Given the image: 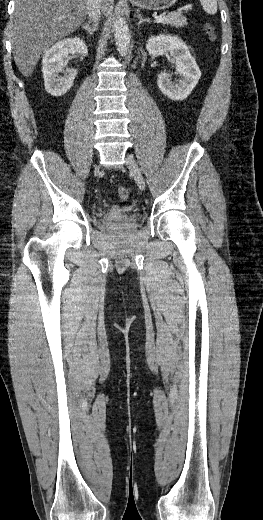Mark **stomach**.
<instances>
[{
  "mask_svg": "<svg viewBox=\"0 0 263 520\" xmlns=\"http://www.w3.org/2000/svg\"><path fill=\"white\" fill-rule=\"evenodd\" d=\"M177 0H130V3L143 9L164 10L174 5Z\"/></svg>",
  "mask_w": 263,
  "mask_h": 520,
  "instance_id": "stomach-1",
  "label": "stomach"
}]
</instances>
